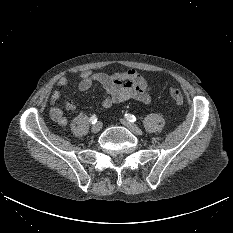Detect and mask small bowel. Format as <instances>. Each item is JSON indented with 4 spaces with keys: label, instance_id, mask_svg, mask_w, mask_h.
Segmentation results:
<instances>
[{
    "label": "small bowel",
    "instance_id": "1",
    "mask_svg": "<svg viewBox=\"0 0 233 233\" xmlns=\"http://www.w3.org/2000/svg\"><path fill=\"white\" fill-rule=\"evenodd\" d=\"M79 76L78 89L82 92L87 91L94 82L103 86L107 93V96L101 102L103 108H110L115 103L127 100H136L142 103L150 102L151 89L148 82L134 69L114 74L82 71ZM56 85L59 88H66L69 85V80L66 77H61L57 80ZM61 96V89H56L51 93L49 114L54 122L60 126H65L67 124V117L63 109L56 105ZM65 109L73 112L76 109V105L72 100H68L65 104Z\"/></svg>",
    "mask_w": 233,
    "mask_h": 233
}]
</instances>
